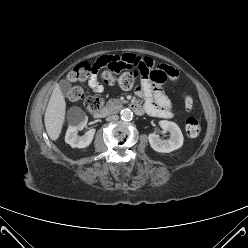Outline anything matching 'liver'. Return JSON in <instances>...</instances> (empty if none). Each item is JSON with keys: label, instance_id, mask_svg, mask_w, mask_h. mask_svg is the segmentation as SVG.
Wrapping results in <instances>:
<instances>
[{"label": "liver", "instance_id": "6515ba94", "mask_svg": "<svg viewBox=\"0 0 248 248\" xmlns=\"http://www.w3.org/2000/svg\"><path fill=\"white\" fill-rule=\"evenodd\" d=\"M66 102L62 94L60 86L55 85L51 97L49 99L44 122L48 136L52 140H57L61 134L63 123L65 120Z\"/></svg>", "mask_w": 248, "mask_h": 248}]
</instances>
